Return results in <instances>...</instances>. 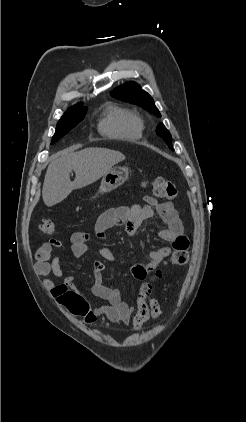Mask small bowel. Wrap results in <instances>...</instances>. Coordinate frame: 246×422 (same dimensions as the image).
<instances>
[{"label": "small bowel", "instance_id": "c3829d8e", "mask_svg": "<svg viewBox=\"0 0 246 422\" xmlns=\"http://www.w3.org/2000/svg\"><path fill=\"white\" fill-rule=\"evenodd\" d=\"M144 202L143 205L110 208L100 215L95 225L97 237L105 239L107 232L114 227L123 226L127 235L134 236L143 221L154 218L156 215L162 219L165 227L159 230V237L171 243V247H157L148 254L147 263L135 264L131 267L132 275L139 280L145 278L150 271L155 270L173 251L184 250L187 252L189 247L183 224L173 204L171 202L158 203L152 196H145ZM89 238V233L82 231L71 235L70 248L74 256L80 257L87 253ZM60 247V241L51 239L38 248L35 253L36 272L44 277L43 282L53 298L72 314L81 317L87 324L94 323L100 315H105L114 323L128 324L134 309L121 299L119 290L105 284L103 262L95 261L94 263L95 283L92 292L95 296L107 301V304L92 307L77 290L72 275H67L62 282H58V279L64 275L61 267L62 255L52 256V251ZM100 254L109 262L120 263L106 247L100 249Z\"/></svg>", "mask_w": 246, "mask_h": 422}]
</instances>
